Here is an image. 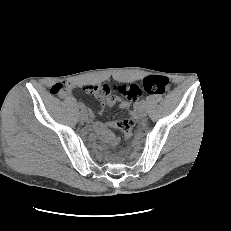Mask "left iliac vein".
<instances>
[{
	"label": "left iliac vein",
	"instance_id": "4c4485c4",
	"mask_svg": "<svg viewBox=\"0 0 231 231\" xmlns=\"http://www.w3.org/2000/svg\"><path fill=\"white\" fill-rule=\"evenodd\" d=\"M138 113H139V116L142 117V118L147 115V112H146L145 108H140Z\"/></svg>",
	"mask_w": 231,
	"mask_h": 231
}]
</instances>
